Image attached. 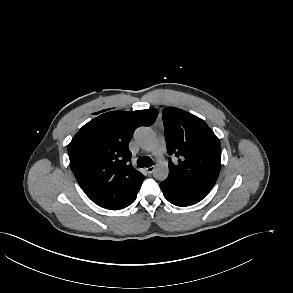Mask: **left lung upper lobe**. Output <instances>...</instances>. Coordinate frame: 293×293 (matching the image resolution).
I'll use <instances>...</instances> for the list:
<instances>
[{
	"label": "left lung upper lobe",
	"mask_w": 293,
	"mask_h": 293,
	"mask_svg": "<svg viewBox=\"0 0 293 293\" xmlns=\"http://www.w3.org/2000/svg\"><path fill=\"white\" fill-rule=\"evenodd\" d=\"M163 123L167 152L178 158L169 161L167 180L212 189L221 167L219 139L202 119L179 108H164Z\"/></svg>",
	"instance_id": "5c2ea615"
}]
</instances>
